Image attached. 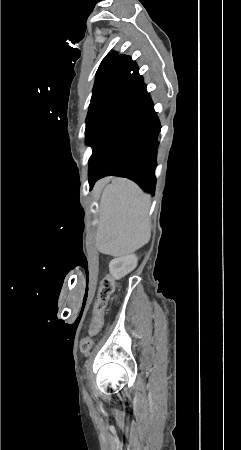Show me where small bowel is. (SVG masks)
<instances>
[{
  "label": "small bowel",
  "instance_id": "c3829d8e",
  "mask_svg": "<svg viewBox=\"0 0 241 450\" xmlns=\"http://www.w3.org/2000/svg\"><path fill=\"white\" fill-rule=\"evenodd\" d=\"M89 331H93L95 334L98 333L100 330H89Z\"/></svg>",
  "mask_w": 241,
  "mask_h": 450
}]
</instances>
